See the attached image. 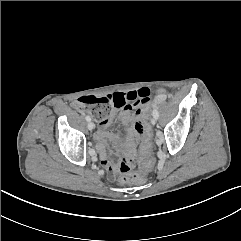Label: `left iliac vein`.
I'll return each mask as SVG.
<instances>
[{"label":"left iliac vein","mask_w":241,"mask_h":241,"mask_svg":"<svg viewBox=\"0 0 241 241\" xmlns=\"http://www.w3.org/2000/svg\"><path fill=\"white\" fill-rule=\"evenodd\" d=\"M156 121H157V118H155V117H153V118L151 119V123H152L153 125L156 124Z\"/></svg>","instance_id":"4c4485c4"}]
</instances>
